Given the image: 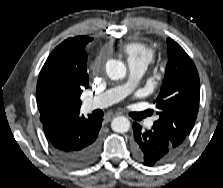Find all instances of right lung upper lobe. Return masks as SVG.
Here are the masks:
<instances>
[{
    "instance_id": "obj_1",
    "label": "right lung upper lobe",
    "mask_w": 223,
    "mask_h": 188,
    "mask_svg": "<svg viewBox=\"0 0 223 188\" xmlns=\"http://www.w3.org/2000/svg\"><path fill=\"white\" fill-rule=\"evenodd\" d=\"M92 39L86 36L68 38L47 58L36 89L43 125L81 117L80 96L89 86L85 46Z\"/></svg>"
}]
</instances>
